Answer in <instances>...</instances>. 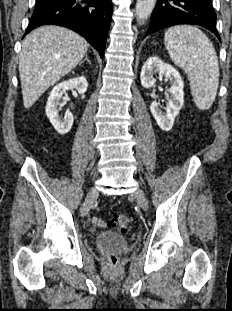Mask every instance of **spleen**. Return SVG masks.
Segmentation results:
<instances>
[{"label":"spleen","instance_id":"3e777b00","mask_svg":"<svg viewBox=\"0 0 232 311\" xmlns=\"http://www.w3.org/2000/svg\"><path fill=\"white\" fill-rule=\"evenodd\" d=\"M164 43L172 61L185 70L196 106L208 110L219 84V65L213 44L203 31L190 25L170 27L165 32Z\"/></svg>","mask_w":232,"mask_h":311}]
</instances>
